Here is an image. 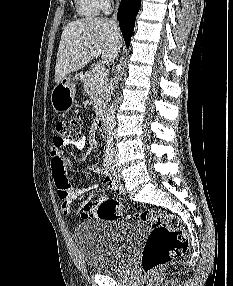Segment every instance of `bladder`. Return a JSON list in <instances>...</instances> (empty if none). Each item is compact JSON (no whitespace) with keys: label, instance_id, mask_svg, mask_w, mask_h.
Segmentation results:
<instances>
[{"label":"bladder","instance_id":"obj_1","mask_svg":"<svg viewBox=\"0 0 233 286\" xmlns=\"http://www.w3.org/2000/svg\"><path fill=\"white\" fill-rule=\"evenodd\" d=\"M144 232L140 220H103L77 227L74 240L89 271L109 273L126 267Z\"/></svg>","mask_w":233,"mask_h":286}]
</instances>
